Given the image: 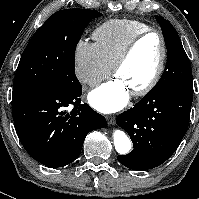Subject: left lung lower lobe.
I'll return each instance as SVG.
<instances>
[{"label":"left lung lower lobe","instance_id":"1","mask_svg":"<svg viewBox=\"0 0 199 199\" xmlns=\"http://www.w3.org/2000/svg\"><path fill=\"white\" fill-rule=\"evenodd\" d=\"M192 100L193 87L179 86L159 94L148 93L121 113L116 122L129 134L133 150L118 155V161L144 171L169 159L188 129Z\"/></svg>","mask_w":199,"mask_h":199}]
</instances>
